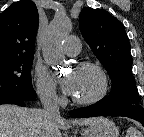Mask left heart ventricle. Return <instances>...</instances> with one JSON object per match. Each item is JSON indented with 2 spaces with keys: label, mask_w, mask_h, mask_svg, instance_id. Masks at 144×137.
<instances>
[{
  "label": "left heart ventricle",
  "mask_w": 144,
  "mask_h": 137,
  "mask_svg": "<svg viewBox=\"0 0 144 137\" xmlns=\"http://www.w3.org/2000/svg\"><path fill=\"white\" fill-rule=\"evenodd\" d=\"M76 89L73 97L78 99H87L94 96L100 89V78L96 72L91 69H75Z\"/></svg>",
  "instance_id": "left-heart-ventricle-1"
}]
</instances>
